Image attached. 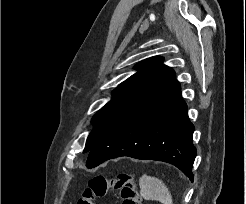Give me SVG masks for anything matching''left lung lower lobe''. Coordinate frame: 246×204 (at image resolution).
Wrapping results in <instances>:
<instances>
[{
	"instance_id": "left-lung-lower-lobe-1",
	"label": "left lung lower lobe",
	"mask_w": 246,
	"mask_h": 204,
	"mask_svg": "<svg viewBox=\"0 0 246 204\" xmlns=\"http://www.w3.org/2000/svg\"><path fill=\"white\" fill-rule=\"evenodd\" d=\"M193 131L174 79L113 123L90 149L86 166L129 156L173 164L193 181Z\"/></svg>"
}]
</instances>
